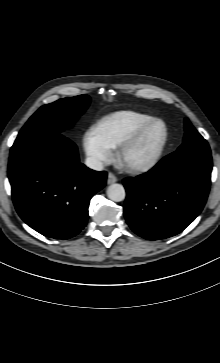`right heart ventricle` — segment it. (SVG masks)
Masks as SVG:
<instances>
[{
  "label": "right heart ventricle",
  "instance_id": "e07e8e85",
  "mask_svg": "<svg viewBox=\"0 0 220 363\" xmlns=\"http://www.w3.org/2000/svg\"><path fill=\"white\" fill-rule=\"evenodd\" d=\"M152 119L151 115L145 113L122 110L102 118L95 129L109 148H117L135 130Z\"/></svg>",
  "mask_w": 220,
  "mask_h": 363
}]
</instances>
